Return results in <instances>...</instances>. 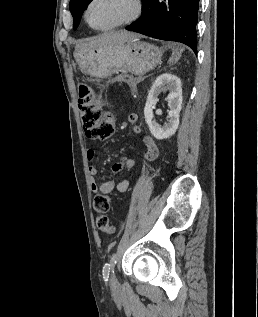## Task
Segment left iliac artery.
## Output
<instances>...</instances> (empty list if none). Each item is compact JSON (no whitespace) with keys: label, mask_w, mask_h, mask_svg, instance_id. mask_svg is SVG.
<instances>
[{"label":"left iliac artery","mask_w":258,"mask_h":317,"mask_svg":"<svg viewBox=\"0 0 258 317\" xmlns=\"http://www.w3.org/2000/svg\"><path fill=\"white\" fill-rule=\"evenodd\" d=\"M116 262H117V255H116V253H113L111 256V259H110V266H111V270H112L113 274H114V267H115Z\"/></svg>","instance_id":"1"}]
</instances>
